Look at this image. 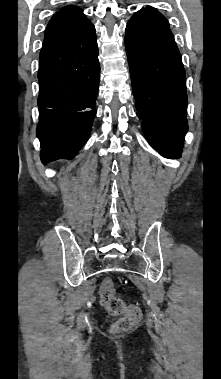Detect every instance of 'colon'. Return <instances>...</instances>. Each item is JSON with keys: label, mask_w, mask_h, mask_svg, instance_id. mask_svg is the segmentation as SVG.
Returning <instances> with one entry per match:
<instances>
[{"label": "colon", "mask_w": 221, "mask_h": 379, "mask_svg": "<svg viewBox=\"0 0 221 379\" xmlns=\"http://www.w3.org/2000/svg\"><path fill=\"white\" fill-rule=\"evenodd\" d=\"M100 302L105 310L113 316H121L113 325L112 331L121 332L133 328L141 319V310L134 305H127L116 295L111 279L103 280L100 287Z\"/></svg>", "instance_id": "colon-1"}]
</instances>
